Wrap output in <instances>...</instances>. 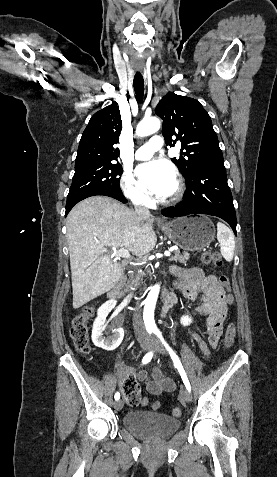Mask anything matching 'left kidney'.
<instances>
[{
	"label": "left kidney",
	"mask_w": 277,
	"mask_h": 477,
	"mask_svg": "<svg viewBox=\"0 0 277 477\" xmlns=\"http://www.w3.org/2000/svg\"><path fill=\"white\" fill-rule=\"evenodd\" d=\"M180 322L183 326H188L192 323V319L188 315H183Z\"/></svg>",
	"instance_id": "obj_1"
}]
</instances>
